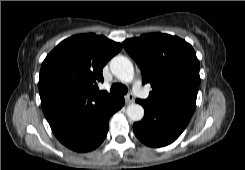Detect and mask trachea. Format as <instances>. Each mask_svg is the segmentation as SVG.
Here are the masks:
<instances>
[{
    "instance_id": "obj_1",
    "label": "trachea",
    "mask_w": 245,
    "mask_h": 170,
    "mask_svg": "<svg viewBox=\"0 0 245 170\" xmlns=\"http://www.w3.org/2000/svg\"><path fill=\"white\" fill-rule=\"evenodd\" d=\"M110 92L113 94H126L127 93V87L121 83H114L111 88Z\"/></svg>"
}]
</instances>
